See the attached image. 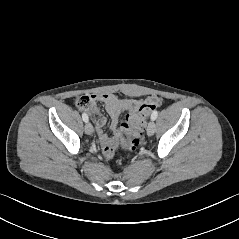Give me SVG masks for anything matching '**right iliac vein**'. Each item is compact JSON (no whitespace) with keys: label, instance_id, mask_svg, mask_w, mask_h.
Here are the masks:
<instances>
[{"label":"right iliac vein","instance_id":"1","mask_svg":"<svg viewBox=\"0 0 239 239\" xmlns=\"http://www.w3.org/2000/svg\"><path fill=\"white\" fill-rule=\"evenodd\" d=\"M93 131L94 130H93L92 124L90 122H86V124H85V132H86V134L92 135Z\"/></svg>","mask_w":239,"mask_h":239}]
</instances>
